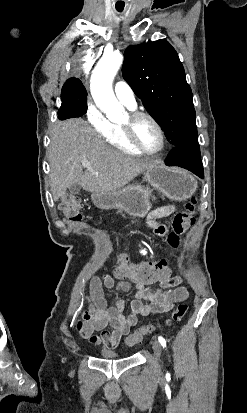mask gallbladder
Listing matches in <instances>:
<instances>
[{
  "label": "gallbladder",
  "mask_w": 247,
  "mask_h": 413,
  "mask_svg": "<svg viewBox=\"0 0 247 413\" xmlns=\"http://www.w3.org/2000/svg\"><path fill=\"white\" fill-rule=\"evenodd\" d=\"M80 188V184H71V186H69V190L72 194H78V192H80Z\"/></svg>",
  "instance_id": "obj_1"
}]
</instances>
